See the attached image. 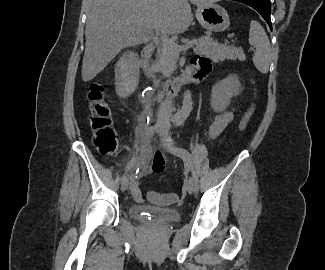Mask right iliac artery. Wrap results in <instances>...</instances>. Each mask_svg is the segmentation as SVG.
<instances>
[{
	"label": "right iliac artery",
	"mask_w": 325,
	"mask_h": 270,
	"mask_svg": "<svg viewBox=\"0 0 325 270\" xmlns=\"http://www.w3.org/2000/svg\"><path fill=\"white\" fill-rule=\"evenodd\" d=\"M155 130H156V126H151V127H149V128L147 129V131H146V138H147V139L150 138V137L154 134ZM136 162H137V160L134 158V159H132V160L128 163V165H127V167H126V171H125V173L123 174V176L121 177V181L126 180V178H127V176H126L127 171H129L131 168H133V166L136 164Z\"/></svg>",
	"instance_id": "1"
}]
</instances>
